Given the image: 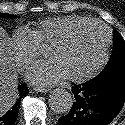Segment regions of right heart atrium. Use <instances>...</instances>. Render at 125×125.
Listing matches in <instances>:
<instances>
[{
    "label": "right heart atrium",
    "instance_id": "1",
    "mask_svg": "<svg viewBox=\"0 0 125 125\" xmlns=\"http://www.w3.org/2000/svg\"><path fill=\"white\" fill-rule=\"evenodd\" d=\"M10 49L17 66L22 69L32 64L43 52L37 36L27 27L14 30L10 39Z\"/></svg>",
    "mask_w": 125,
    "mask_h": 125
}]
</instances>
